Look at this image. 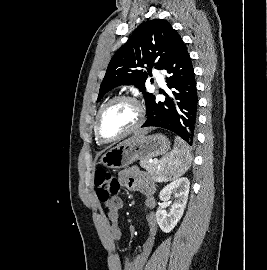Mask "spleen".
Listing matches in <instances>:
<instances>
[{
  "label": "spleen",
  "mask_w": 267,
  "mask_h": 270,
  "mask_svg": "<svg viewBox=\"0 0 267 270\" xmlns=\"http://www.w3.org/2000/svg\"><path fill=\"white\" fill-rule=\"evenodd\" d=\"M174 149L161 159L159 180L168 181L182 176L190 167L191 154L187 144L179 137L175 138Z\"/></svg>",
  "instance_id": "obj_1"
}]
</instances>
